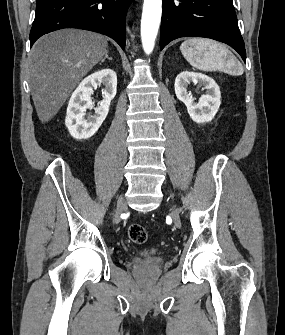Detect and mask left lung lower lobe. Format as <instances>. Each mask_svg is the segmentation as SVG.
Returning <instances> with one entry per match:
<instances>
[{"mask_svg": "<svg viewBox=\"0 0 285 335\" xmlns=\"http://www.w3.org/2000/svg\"><path fill=\"white\" fill-rule=\"evenodd\" d=\"M180 37H205L226 43L246 62L232 0H163L160 50Z\"/></svg>", "mask_w": 285, "mask_h": 335, "instance_id": "obj_1", "label": "left lung lower lobe"}]
</instances>
